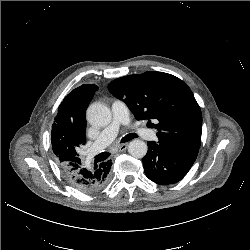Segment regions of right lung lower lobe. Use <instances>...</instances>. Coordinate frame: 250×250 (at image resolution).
Instances as JSON below:
<instances>
[{"mask_svg": "<svg viewBox=\"0 0 250 250\" xmlns=\"http://www.w3.org/2000/svg\"><path fill=\"white\" fill-rule=\"evenodd\" d=\"M111 165V160H108L94 165V168L87 167L82 162L71 163L60 168L75 188L82 192H95L104 188L108 183Z\"/></svg>", "mask_w": 250, "mask_h": 250, "instance_id": "1", "label": "right lung lower lobe"}]
</instances>
